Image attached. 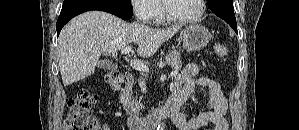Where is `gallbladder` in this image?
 I'll list each match as a JSON object with an SVG mask.
<instances>
[{
	"instance_id": "1",
	"label": "gallbladder",
	"mask_w": 299,
	"mask_h": 130,
	"mask_svg": "<svg viewBox=\"0 0 299 130\" xmlns=\"http://www.w3.org/2000/svg\"><path fill=\"white\" fill-rule=\"evenodd\" d=\"M98 67L105 70H114L117 68L116 64L106 60L100 61Z\"/></svg>"
}]
</instances>
